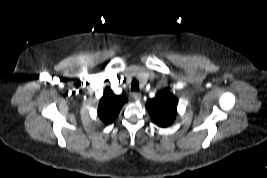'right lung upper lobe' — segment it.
<instances>
[{
	"instance_id": "obj_1",
	"label": "right lung upper lobe",
	"mask_w": 267,
	"mask_h": 178,
	"mask_svg": "<svg viewBox=\"0 0 267 178\" xmlns=\"http://www.w3.org/2000/svg\"><path fill=\"white\" fill-rule=\"evenodd\" d=\"M125 102H127L126 96H117L109 87H106L98 106L100 119L105 124L113 122Z\"/></svg>"
}]
</instances>
